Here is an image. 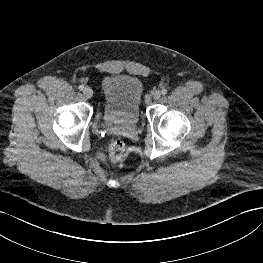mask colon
Masks as SVG:
<instances>
[{"label":"colon","instance_id":"colon-1","mask_svg":"<svg viewBox=\"0 0 263 263\" xmlns=\"http://www.w3.org/2000/svg\"><path fill=\"white\" fill-rule=\"evenodd\" d=\"M125 153V144L122 140H115L110 144L109 157L112 162L119 161Z\"/></svg>","mask_w":263,"mask_h":263}]
</instances>
